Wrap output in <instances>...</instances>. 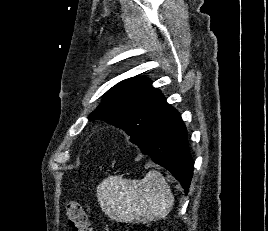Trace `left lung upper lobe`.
<instances>
[{"label":"left lung upper lobe","mask_w":268,"mask_h":231,"mask_svg":"<svg viewBox=\"0 0 268 231\" xmlns=\"http://www.w3.org/2000/svg\"><path fill=\"white\" fill-rule=\"evenodd\" d=\"M172 110L150 79L132 77L109 89L88 119H103L124 130L136 143L144 140Z\"/></svg>","instance_id":"left-lung-upper-lobe-1"}]
</instances>
